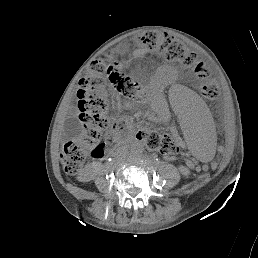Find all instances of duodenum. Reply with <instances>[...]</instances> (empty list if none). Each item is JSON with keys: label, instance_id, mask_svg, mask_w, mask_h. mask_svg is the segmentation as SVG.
I'll list each match as a JSON object with an SVG mask.
<instances>
[{"label": "duodenum", "instance_id": "410a0bca", "mask_svg": "<svg viewBox=\"0 0 258 258\" xmlns=\"http://www.w3.org/2000/svg\"><path fill=\"white\" fill-rule=\"evenodd\" d=\"M91 155H92V157L96 158L97 156H100V155H102V154H99V155H98V154L92 153Z\"/></svg>", "mask_w": 258, "mask_h": 258}]
</instances>
